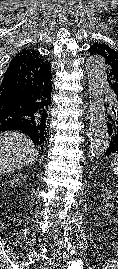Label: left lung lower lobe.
Listing matches in <instances>:
<instances>
[{
	"mask_svg": "<svg viewBox=\"0 0 118 269\" xmlns=\"http://www.w3.org/2000/svg\"><path fill=\"white\" fill-rule=\"evenodd\" d=\"M109 106V105H108ZM112 115L108 116V142L104 151V156L118 153V99L112 106Z\"/></svg>",
	"mask_w": 118,
	"mask_h": 269,
	"instance_id": "0a47b994",
	"label": "left lung lower lobe"
}]
</instances>
